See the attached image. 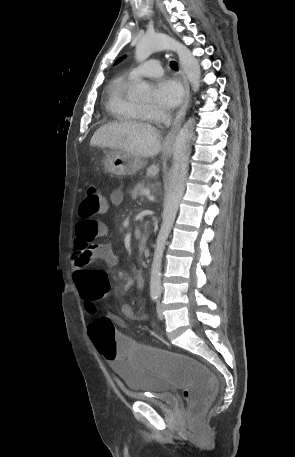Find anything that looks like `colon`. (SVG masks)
<instances>
[{"label": "colon", "instance_id": "5ec220e1", "mask_svg": "<svg viewBox=\"0 0 295 457\" xmlns=\"http://www.w3.org/2000/svg\"><path fill=\"white\" fill-rule=\"evenodd\" d=\"M107 202L96 183H90L79 206V215L84 219L104 212ZM110 293V274L101 269L87 271V286L82 297L89 311H95L94 302ZM92 347L97 355L113 363L128 362L129 366H140V372H160L167 383H175L176 390H183L188 405V415L195 418L209 402L213 390H217L216 374L205 369L204 363L182 357L181 351H165L164 346H137L129 341L127 330H115L113 322L104 317L97 318L89 328Z\"/></svg>", "mask_w": 295, "mask_h": 457}]
</instances>
